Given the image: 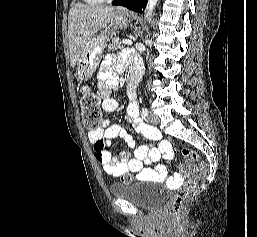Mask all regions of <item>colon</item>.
I'll use <instances>...</instances> for the list:
<instances>
[{
  "label": "colon",
  "mask_w": 257,
  "mask_h": 237,
  "mask_svg": "<svg viewBox=\"0 0 257 237\" xmlns=\"http://www.w3.org/2000/svg\"><path fill=\"white\" fill-rule=\"evenodd\" d=\"M81 111L83 123L86 128L90 130L99 128L101 121L100 98L88 88L82 89ZM182 154L187 161L180 167L181 177L184 178V181L182 186L177 190L170 210V215L174 220L182 218L190 196L196 190L197 182L204 177L206 172V165L204 163L196 166L191 162V160L198 158L196 152L190 149H183ZM122 181L129 183L132 179L129 176H124Z\"/></svg>",
  "instance_id": "5ec220e1"
}]
</instances>
